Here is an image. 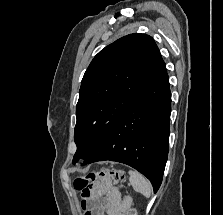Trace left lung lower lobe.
<instances>
[{
    "label": "left lung lower lobe",
    "instance_id": "obj_1",
    "mask_svg": "<svg viewBox=\"0 0 223 215\" xmlns=\"http://www.w3.org/2000/svg\"><path fill=\"white\" fill-rule=\"evenodd\" d=\"M170 113L171 93L164 63L87 163L111 160L127 164L146 176L156 193L168 156Z\"/></svg>",
    "mask_w": 223,
    "mask_h": 215
}]
</instances>
